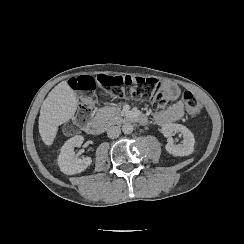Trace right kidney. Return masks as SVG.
I'll return each instance as SVG.
<instances>
[{
    "instance_id": "1",
    "label": "right kidney",
    "mask_w": 244,
    "mask_h": 244,
    "mask_svg": "<svg viewBox=\"0 0 244 244\" xmlns=\"http://www.w3.org/2000/svg\"><path fill=\"white\" fill-rule=\"evenodd\" d=\"M83 141L84 137L79 135L69 139L63 145L58 157V165L63 174L75 175L82 173L92 164L91 157H86L84 159L75 157L74 148L81 147Z\"/></svg>"
}]
</instances>
